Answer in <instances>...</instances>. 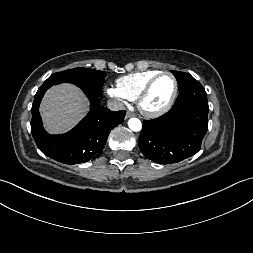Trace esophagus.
Listing matches in <instances>:
<instances>
[{
    "label": "esophagus",
    "instance_id": "34e87169",
    "mask_svg": "<svg viewBox=\"0 0 253 253\" xmlns=\"http://www.w3.org/2000/svg\"><path fill=\"white\" fill-rule=\"evenodd\" d=\"M132 116H133V113L127 112L125 118L128 119V118H131Z\"/></svg>",
    "mask_w": 253,
    "mask_h": 253
}]
</instances>
